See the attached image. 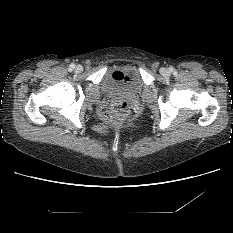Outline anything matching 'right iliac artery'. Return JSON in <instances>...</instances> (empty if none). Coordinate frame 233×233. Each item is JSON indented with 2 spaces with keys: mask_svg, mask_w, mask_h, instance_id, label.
I'll return each instance as SVG.
<instances>
[{
  "mask_svg": "<svg viewBox=\"0 0 233 233\" xmlns=\"http://www.w3.org/2000/svg\"><path fill=\"white\" fill-rule=\"evenodd\" d=\"M74 68H75V65L74 64H70L69 71H72Z\"/></svg>",
  "mask_w": 233,
  "mask_h": 233,
  "instance_id": "obj_1",
  "label": "right iliac artery"
}]
</instances>
